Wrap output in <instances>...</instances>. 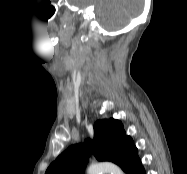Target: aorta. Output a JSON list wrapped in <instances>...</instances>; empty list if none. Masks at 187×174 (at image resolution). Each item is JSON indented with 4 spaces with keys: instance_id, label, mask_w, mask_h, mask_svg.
Masks as SVG:
<instances>
[{
    "instance_id": "762f6f07",
    "label": "aorta",
    "mask_w": 187,
    "mask_h": 174,
    "mask_svg": "<svg viewBox=\"0 0 187 174\" xmlns=\"http://www.w3.org/2000/svg\"><path fill=\"white\" fill-rule=\"evenodd\" d=\"M87 174H124L120 167L111 162L92 164Z\"/></svg>"
}]
</instances>
